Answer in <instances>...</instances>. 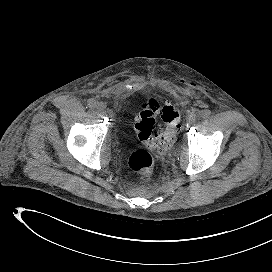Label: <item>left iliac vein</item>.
I'll use <instances>...</instances> for the list:
<instances>
[{"mask_svg":"<svg viewBox=\"0 0 272 272\" xmlns=\"http://www.w3.org/2000/svg\"><path fill=\"white\" fill-rule=\"evenodd\" d=\"M200 114H201V112H199L197 115H192V116H190V117L188 118V123H189V124L195 123V122L198 120Z\"/></svg>","mask_w":272,"mask_h":272,"instance_id":"1","label":"left iliac vein"}]
</instances>
